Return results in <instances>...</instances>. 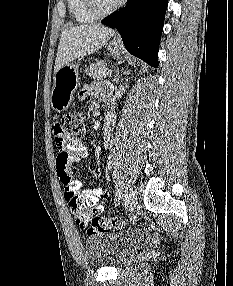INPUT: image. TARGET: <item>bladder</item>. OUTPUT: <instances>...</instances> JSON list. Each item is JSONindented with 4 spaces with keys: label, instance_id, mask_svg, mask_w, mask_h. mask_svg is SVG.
<instances>
[{
    "label": "bladder",
    "instance_id": "obj_1",
    "mask_svg": "<svg viewBox=\"0 0 233 286\" xmlns=\"http://www.w3.org/2000/svg\"><path fill=\"white\" fill-rule=\"evenodd\" d=\"M140 241L136 231L96 235L85 240L84 252L93 268L121 267L135 255Z\"/></svg>",
    "mask_w": 233,
    "mask_h": 286
}]
</instances>
